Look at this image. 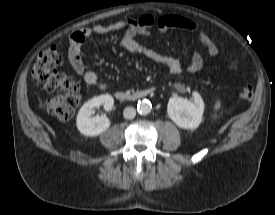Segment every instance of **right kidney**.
<instances>
[{"label":"right kidney","mask_w":275,"mask_h":215,"mask_svg":"<svg viewBox=\"0 0 275 215\" xmlns=\"http://www.w3.org/2000/svg\"><path fill=\"white\" fill-rule=\"evenodd\" d=\"M114 99L111 95L105 94L94 97L86 102L77 115V128L85 136H97L106 131L110 126L109 119L105 116H94V109L100 106L106 111L112 110Z\"/></svg>","instance_id":"1"}]
</instances>
